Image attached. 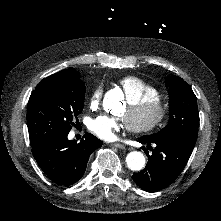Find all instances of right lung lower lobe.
Listing matches in <instances>:
<instances>
[{
  "mask_svg": "<svg viewBox=\"0 0 221 221\" xmlns=\"http://www.w3.org/2000/svg\"><path fill=\"white\" fill-rule=\"evenodd\" d=\"M101 146V141L90 133H86L80 143L68 140L65 135L34 143L32 153L53 182L70 186L82 178L91 153Z\"/></svg>",
  "mask_w": 221,
  "mask_h": 221,
  "instance_id": "obj_1",
  "label": "right lung lower lobe"
}]
</instances>
